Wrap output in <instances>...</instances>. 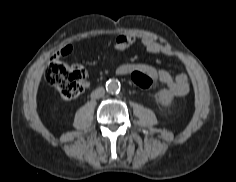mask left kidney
I'll list each match as a JSON object with an SVG mask.
<instances>
[{
	"label": "left kidney",
	"instance_id": "obj_1",
	"mask_svg": "<svg viewBox=\"0 0 236 182\" xmlns=\"http://www.w3.org/2000/svg\"><path fill=\"white\" fill-rule=\"evenodd\" d=\"M173 99L174 96L167 89H163L158 92V100L163 106H169Z\"/></svg>",
	"mask_w": 236,
	"mask_h": 182
}]
</instances>
